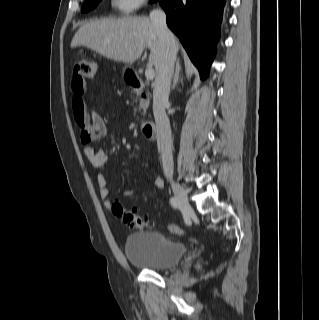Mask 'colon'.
<instances>
[{
    "label": "colon",
    "instance_id": "colon-1",
    "mask_svg": "<svg viewBox=\"0 0 319 320\" xmlns=\"http://www.w3.org/2000/svg\"><path fill=\"white\" fill-rule=\"evenodd\" d=\"M97 74V63L93 59H81L75 63L74 79L80 84L94 80ZM75 120L79 128L80 139L83 143L94 140L90 124L83 113H76ZM112 211L120 217L124 225L133 229H145L151 227V223L146 216H140L135 211L126 210L120 203L112 205ZM169 232L173 234L184 233L183 229L176 224L168 225Z\"/></svg>",
    "mask_w": 319,
    "mask_h": 320
}]
</instances>
